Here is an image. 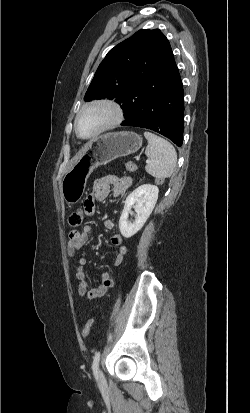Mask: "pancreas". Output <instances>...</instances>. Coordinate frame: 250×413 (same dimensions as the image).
<instances>
[{
  "label": "pancreas",
  "instance_id": "cf45deb5",
  "mask_svg": "<svg viewBox=\"0 0 250 413\" xmlns=\"http://www.w3.org/2000/svg\"><path fill=\"white\" fill-rule=\"evenodd\" d=\"M135 169H136V167L132 168L131 170H135Z\"/></svg>",
  "mask_w": 250,
  "mask_h": 413
}]
</instances>
